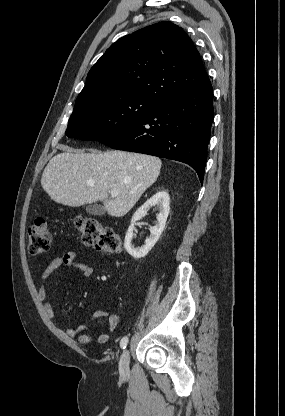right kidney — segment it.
<instances>
[{"label": "right kidney", "instance_id": "right-kidney-1", "mask_svg": "<svg viewBox=\"0 0 285 416\" xmlns=\"http://www.w3.org/2000/svg\"><path fill=\"white\" fill-rule=\"evenodd\" d=\"M169 200L170 198L168 192L161 190V192L154 194L150 200H147V202H145V204H143V206H141V208L135 212L134 216H132L131 226H129L126 232L124 246L126 252H128L130 256H133V258H136V260L145 258L148 252H150L153 246H155L156 242H158L168 218L170 210ZM152 206H157L159 210V214L157 216V224L156 226H152V228H150L151 236L150 238H147L145 246H141V248H133L131 242L133 240L135 222H137V220H141V218H144L145 214H147L149 208H152Z\"/></svg>", "mask_w": 285, "mask_h": 416}]
</instances>
